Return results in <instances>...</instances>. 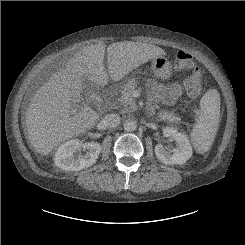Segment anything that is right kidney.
I'll return each mask as SVG.
<instances>
[{"label": "right kidney", "instance_id": "ca27d5eb", "mask_svg": "<svg viewBox=\"0 0 245 245\" xmlns=\"http://www.w3.org/2000/svg\"><path fill=\"white\" fill-rule=\"evenodd\" d=\"M81 149L87 150V152L82 155ZM100 152L101 145L97 142L82 143L78 139H73L58 147L54 163L63 170L80 171L92 166Z\"/></svg>", "mask_w": 245, "mask_h": 245}]
</instances>
